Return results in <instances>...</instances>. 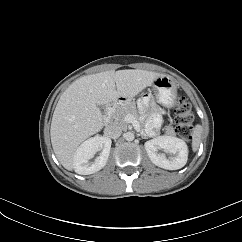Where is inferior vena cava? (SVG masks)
<instances>
[{
	"label": "inferior vena cava",
	"mask_w": 242,
	"mask_h": 242,
	"mask_svg": "<svg viewBox=\"0 0 242 242\" xmlns=\"http://www.w3.org/2000/svg\"><path fill=\"white\" fill-rule=\"evenodd\" d=\"M122 126L119 124H111L106 127L104 133L107 138L117 139L122 134Z\"/></svg>",
	"instance_id": "obj_1"
}]
</instances>
